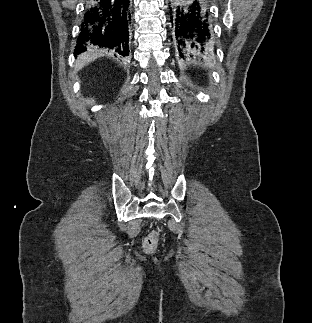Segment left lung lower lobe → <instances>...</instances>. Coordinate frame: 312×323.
I'll return each mask as SVG.
<instances>
[{"mask_svg":"<svg viewBox=\"0 0 312 323\" xmlns=\"http://www.w3.org/2000/svg\"><path fill=\"white\" fill-rule=\"evenodd\" d=\"M168 8L171 40L179 57L211 55L214 48L209 0H172Z\"/></svg>","mask_w":312,"mask_h":323,"instance_id":"left-lung-lower-lobe-1","label":"left lung lower lobe"}]
</instances>
